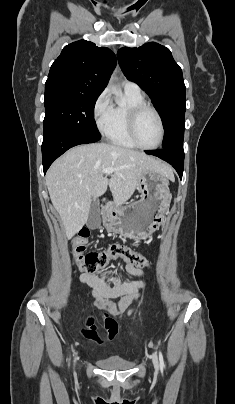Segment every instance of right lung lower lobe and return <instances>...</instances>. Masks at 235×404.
I'll use <instances>...</instances> for the list:
<instances>
[{"label": "right lung lower lobe", "mask_w": 235, "mask_h": 404, "mask_svg": "<svg viewBox=\"0 0 235 404\" xmlns=\"http://www.w3.org/2000/svg\"><path fill=\"white\" fill-rule=\"evenodd\" d=\"M97 140L75 131H60L44 136L42 143V159L44 174L52 162L65 151L79 144L93 143Z\"/></svg>", "instance_id": "right-lung-lower-lobe-1"}]
</instances>
